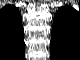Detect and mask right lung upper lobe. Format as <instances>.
<instances>
[{
    "label": "right lung upper lobe",
    "mask_w": 80,
    "mask_h": 60,
    "mask_svg": "<svg viewBox=\"0 0 80 60\" xmlns=\"http://www.w3.org/2000/svg\"><path fill=\"white\" fill-rule=\"evenodd\" d=\"M23 42L24 30L19 10L13 5L4 7L0 11V52L20 51Z\"/></svg>",
    "instance_id": "cb5924a9"
}]
</instances>
